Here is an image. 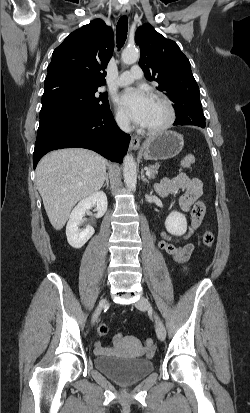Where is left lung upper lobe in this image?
Returning <instances> with one entry per match:
<instances>
[{
	"label": "left lung upper lobe",
	"instance_id": "obj_1",
	"mask_svg": "<svg viewBox=\"0 0 250 413\" xmlns=\"http://www.w3.org/2000/svg\"><path fill=\"white\" fill-rule=\"evenodd\" d=\"M135 42L141 49L139 65L145 77L159 84L157 89L170 97L174 108L200 100L190 62L174 41L145 24L137 29Z\"/></svg>",
	"mask_w": 250,
	"mask_h": 413
}]
</instances>
